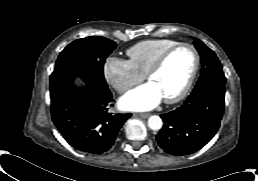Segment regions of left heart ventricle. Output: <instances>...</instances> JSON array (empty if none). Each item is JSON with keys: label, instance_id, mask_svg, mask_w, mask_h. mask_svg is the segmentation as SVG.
I'll return each mask as SVG.
<instances>
[{"label": "left heart ventricle", "instance_id": "1", "mask_svg": "<svg viewBox=\"0 0 258 181\" xmlns=\"http://www.w3.org/2000/svg\"><path fill=\"white\" fill-rule=\"evenodd\" d=\"M194 67V54L188 47L174 52L151 79L163 98L176 96L186 85Z\"/></svg>", "mask_w": 258, "mask_h": 181}]
</instances>
